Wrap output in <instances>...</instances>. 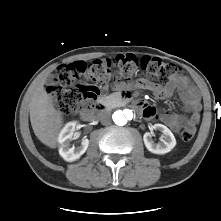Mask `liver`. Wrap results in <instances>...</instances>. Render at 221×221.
<instances>
[{
	"label": "liver",
	"instance_id": "liver-1",
	"mask_svg": "<svg viewBox=\"0 0 221 221\" xmlns=\"http://www.w3.org/2000/svg\"><path fill=\"white\" fill-rule=\"evenodd\" d=\"M30 121L36 137L46 146L56 148L63 117L45 90L44 80L33 92L30 103Z\"/></svg>",
	"mask_w": 221,
	"mask_h": 221
}]
</instances>
